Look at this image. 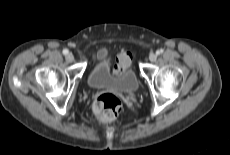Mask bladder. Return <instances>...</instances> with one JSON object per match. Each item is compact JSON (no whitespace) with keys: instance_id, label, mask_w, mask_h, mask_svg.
<instances>
[{"instance_id":"31cf9c89","label":"bladder","mask_w":230,"mask_h":155,"mask_svg":"<svg viewBox=\"0 0 230 155\" xmlns=\"http://www.w3.org/2000/svg\"><path fill=\"white\" fill-rule=\"evenodd\" d=\"M87 81L94 89H113L123 94L138 91L140 83L136 73L131 69L115 73L108 58L99 60L89 71Z\"/></svg>"}]
</instances>
